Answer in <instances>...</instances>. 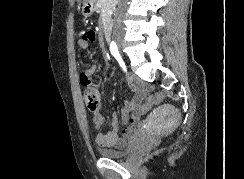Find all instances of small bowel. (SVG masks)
I'll list each match as a JSON object with an SVG mask.
<instances>
[{"label":"small bowel","instance_id":"small-bowel-1","mask_svg":"<svg viewBox=\"0 0 244 179\" xmlns=\"http://www.w3.org/2000/svg\"><path fill=\"white\" fill-rule=\"evenodd\" d=\"M95 39L96 33L94 31L85 30L79 35L78 46L86 50L89 47V43L95 41ZM97 69L98 65L96 63L86 65L80 74L81 83L84 85L90 84L91 77ZM101 82L102 80L98 83L100 84ZM141 97V91L136 93L122 110L121 121L127 126L120 131V119L117 116H113L110 122V130L97 133L95 141L98 145L102 147H121L126 143L127 138L140 124V110H144L143 106L140 107ZM93 123L96 129H101L105 123L104 116L100 112H95L93 114Z\"/></svg>","mask_w":244,"mask_h":179}]
</instances>
